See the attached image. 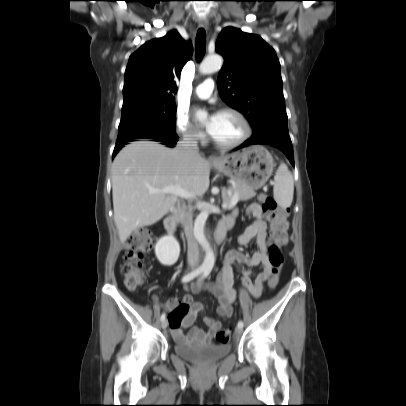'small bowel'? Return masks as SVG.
Segmentation results:
<instances>
[{
  "mask_svg": "<svg viewBox=\"0 0 406 406\" xmlns=\"http://www.w3.org/2000/svg\"><path fill=\"white\" fill-rule=\"evenodd\" d=\"M247 215L254 217V220L245 231L239 235L238 242L241 245H246L254 240L257 251L252 256H247L239 251L230 250L224 255L221 271L214 282L184 287L191 293L199 291L202 287L208 288L218 299V314L222 319H228L234 313L233 302L236 298V290L233 288V265L242 272L240 279L241 285L254 298L261 296L265 283L272 275V265L269 262L266 243L267 224L263 218V210L260 205L254 203L248 208ZM235 216L236 212H233L224 218L223 221L234 222ZM254 266H260L262 270L256 276L255 280L252 281V271L250 267ZM166 307L172 311L178 307L187 309V314L179 320L177 327H173L170 323L174 337L180 342L187 343L189 339L197 342H210L215 333L222 326L221 321L213 317L205 318V322L208 325L207 330L192 326L196 314L202 311L203 305L201 303H195L190 294L185 295L182 299L176 297L170 298L166 303ZM185 328H190L188 335H184L183 333V329Z\"/></svg>",
  "mask_w": 406,
  "mask_h": 406,
  "instance_id": "obj_1",
  "label": "small bowel"
}]
</instances>
